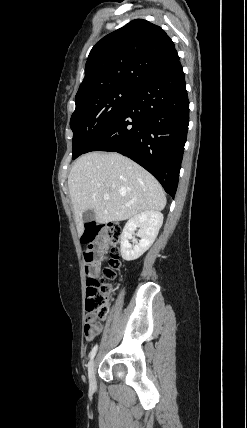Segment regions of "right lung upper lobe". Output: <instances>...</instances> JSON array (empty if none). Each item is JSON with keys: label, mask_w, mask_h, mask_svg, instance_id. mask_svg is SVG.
<instances>
[{"label": "right lung upper lobe", "mask_w": 247, "mask_h": 428, "mask_svg": "<svg viewBox=\"0 0 247 428\" xmlns=\"http://www.w3.org/2000/svg\"><path fill=\"white\" fill-rule=\"evenodd\" d=\"M177 60L174 43L161 27L133 20L94 45L76 96L115 86L139 90Z\"/></svg>", "instance_id": "right-lung-upper-lobe-1"}]
</instances>
